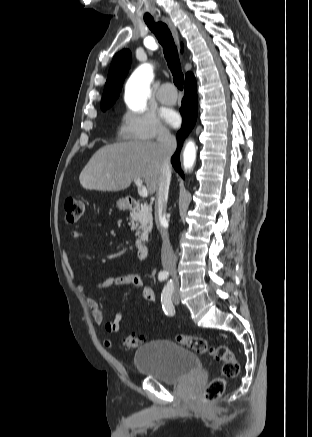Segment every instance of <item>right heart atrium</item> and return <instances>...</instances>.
Wrapping results in <instances>:
<instances>
[{
  "instance_id": "d8ad5b80",
  "label": "right heart atrium",
  "mask_w": 312,
  "mask_h": 437,
  "mask_svg": "<svg viewBox=\"0 0 312 437\" xmlns=\"http://www.w3.org/2000/svg\"><path fill=\"white\" fill-rule=\"evenodd\" d=\"M118 136L128 141H149L169 138L170 133L154 112L127 111L120 118Z\"/></svg>"
}]
</instances>
